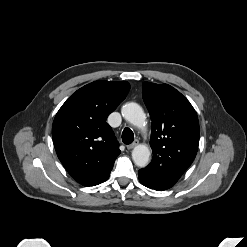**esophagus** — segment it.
Segmentation results:
<instances>
[{"mask_svg": "<svg viewBox=\"0 0 247 247\" xmlns=\"http://www.w3.org/2000/svg\"><path fill=\"white\" fill-rule=\"evenodd\" d=\"M139 144V141L136 139L134 140V142L132 144L127 145V149H133L135 146H137Z\"/></svg>", "mask_w": 247, "mask_h": 247, "instance_id": "34e87169", "label": "esophagus"}]
</instances>
